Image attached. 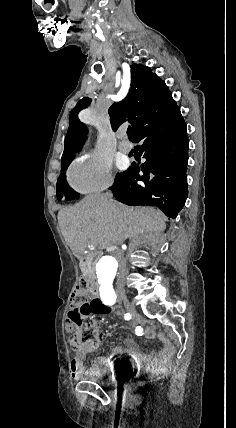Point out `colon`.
<instances>
[{
    "label": "colon",
    "mask_w": 236,
    "mask_h": 428,
    "mask_svg": "<svg viewBox=\"0 0 236 428\" xmlns=\"http://www.w3.org/2000/svg\"><path fill=\"white\" fill-rule=\"evenodd\" d=\"M71 309L65 322L72 349L80 352H94L99 346V335L90 316L108 311L101 301L92 295L89 282L80 279L70 298Z\"/></svg>",
    "instance_id": "colon-1"
}]
</instances>
